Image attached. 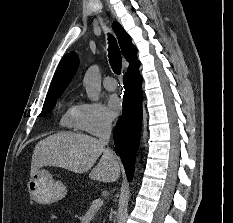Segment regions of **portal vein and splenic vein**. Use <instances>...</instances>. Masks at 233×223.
Masks as SVG:
<instances>
[{
	"label": "portal vein and splenic vein",
	"instance_id": "1",
	"mask_svg": "<svg viewBox=\"0 0 233 223\" xmlns=\"http://www.w3.org/2000/svg\"><path fill=\"white\" fill-rule=\"evenodd\" d=\"M103 203V199H101V197H98V199H94V201H92V205H102Z\"/></svg>",
	"mask_w": 233,
	"mask_h": 223
}]
</instances>
